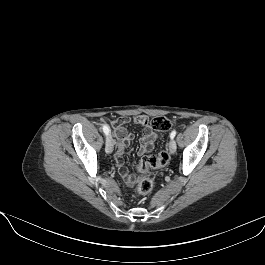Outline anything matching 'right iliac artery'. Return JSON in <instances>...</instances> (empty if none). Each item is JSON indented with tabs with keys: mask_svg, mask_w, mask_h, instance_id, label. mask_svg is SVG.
Returning <instances> with one entry per match:
<instances>
[{
	"mask_svg": "<svg viewBox=\"0 0 265 265\" xmlns=\"http://www.w3.org/2000/svg\"><path fill=\"white\" fill-rule=\"evenodd\" d=\"M102 129H103V132L105 133V135L108 136L109 132H110L109 127L107 125H103Z\"/></svg>",
	"mask_w": 265,
	"mask_h": 265,
	"instance_id": "1",
	"label": "right iliac artery"
}]
</instances>
